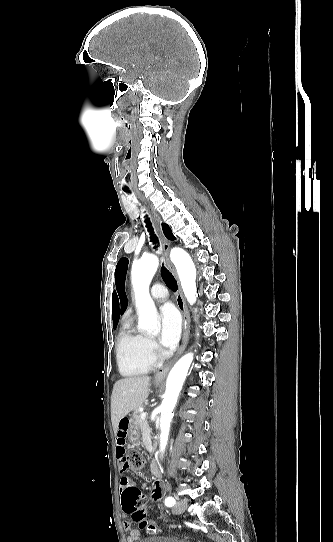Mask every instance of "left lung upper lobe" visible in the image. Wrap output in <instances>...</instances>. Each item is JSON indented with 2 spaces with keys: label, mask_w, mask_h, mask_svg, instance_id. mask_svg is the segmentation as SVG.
<instances>
[{
  "label": "left lung upper lobe",
  "mask_w": 333,
  "mask_h": 542,
  "mask_svg": "<svg viewBox=\"0 0 333 542\" xmlns=\"http://www.w3.org/2000/svg\"><path fill=\"white\" fill-rule=\"evenodd\" d=\"M162 228H163L165 236L168 239H170V240L175 239V237L171 233V229L168 227L167 224L163 223ZM127 268H128V259L127 258H121L118 261L117 266H116V270H115L116 288H117L118 293L120 295L121 304H122L121 314L124 312V310L127 307V297H126L125 290H124V283H125Z\"/></svg>",
  "instance_id": "5c2ea615"
}]
</instances>
